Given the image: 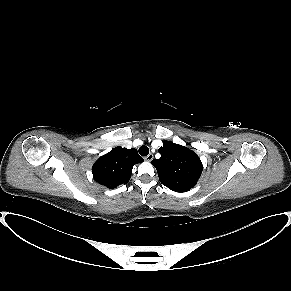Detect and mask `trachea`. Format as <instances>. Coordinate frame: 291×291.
<instances>
[{
  "mask_svg": "<svg viewBox=\"0 0 291 291\" xmlns=\"http://www.w3.org/2000/svg\"><path fill=\"white\" fill-rule=\"evenodd\" d=\"M139 154L141 156H147L149 154V148L147 146H145V145L141 146L139 148Z\"/></svg>",
  "mask_w": 291,
  "mask_h": 291,
  "instance_id": "3493384b",
  "label": "trachea"
}]
</instances>
